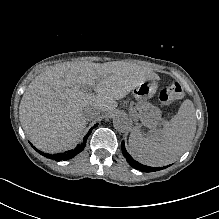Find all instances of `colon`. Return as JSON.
<instances>
[{"label": "colon", "mask_w": 219, "mask_h": 219, "mask_svg": "<svg viewBox=\"0 0 219 219\" xmlns=\"http://www.w3.org/2000/svg\"><path fill=\"white\" fill-rule=\"evenodd\" d=\"M184 91L179 83H173L162 89L159 93V100L163 105H169L174 101L182 99Z\"/></svg>", "instance_id": "colon-1"}]
</instances>
